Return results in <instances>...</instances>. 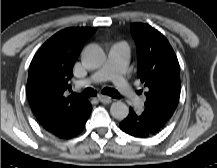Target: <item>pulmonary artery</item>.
Returning <instances> with one entry per match:
<instances>
[{
	"mask_svg": "<svg viewBox=\"0 0 217 168\" xmlns=\"http://www.w3.org/2000/svg\"><path fill=\"white\" fill-rule=\"evenodd\" d=\"M130 57L129 48L125 43H114L108 53L104 66L92 73L84 80V84H97L111 80L127 103L140 107L143 98L138 96L125 77L126 66Z\"/></svg>",
	"mask_w": 217,
	"mask_h": 168,
	"instance_id": "obj_1",
	"label": "pulmonary artery"
}]
</instances>
